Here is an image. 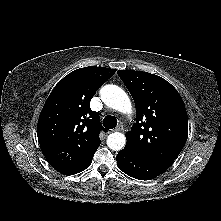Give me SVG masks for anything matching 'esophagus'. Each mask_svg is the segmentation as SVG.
Segmentation results:
<instances>
[{
  "label": "esophagus",
  "mask_w": 221,
  "mask_h": 221,
  "mask_svg": "<svg viewBox=\"0 0 221 221\" xmlns=\"http://www.w3.org/2000/svg\"><path fill=\"white\" fill-rule=\"evenodd\" d=\"M123 130H124L123 125H119L113 131L119 132V131H123Z\"/></svg>",
  "instance_id": "obj_1"
}]
</instances>
